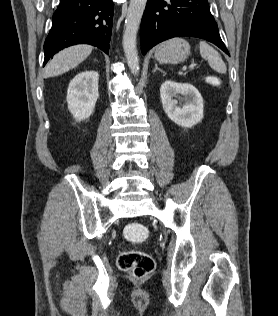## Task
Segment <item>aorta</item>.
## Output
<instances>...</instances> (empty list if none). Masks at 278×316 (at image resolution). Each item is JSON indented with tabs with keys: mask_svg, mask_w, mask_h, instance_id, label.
I'll list each match as a JSON object with an SVG mask.
<instances>
[{
	"mask_svg": "<svg viewBox=\"0 0 278 316\" xmlns=\"http://www.w3.org/2000/svg\"><path fill=\"white\" fill-rule=\"evenodd\" d=\"M146 3L147 0H130L124 25L122 40L123 49L127 64L134 75H138L140 69L136 48V37Z\"/></svg>",
	"mask_w": 278,
	"mask_h": 316,
	"instance_id": "aorta-1",
	"label": "aorta"
}]
</instances>
